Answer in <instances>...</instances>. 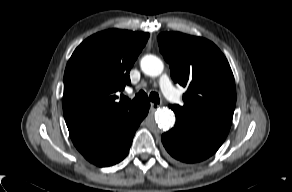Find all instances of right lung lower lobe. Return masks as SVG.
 <instances>
[{"label":"right lung lower lobe","mask_w":292,"mask_h":192,"mask_svg":"<svg viewBox=\"0 0 292 192\" xmlns=\"http://www.w3.org/2000/svg\"><path fill=\"white\" fill-rule=\"evenodd\" d=\"M149 107V103H144L106 121L69 124L72 142L89 162L100 167L114 165L128 154L134 134Z\"/></svg>","instance_id":"right-lung-lower-lobe-1"}]
</instances>
